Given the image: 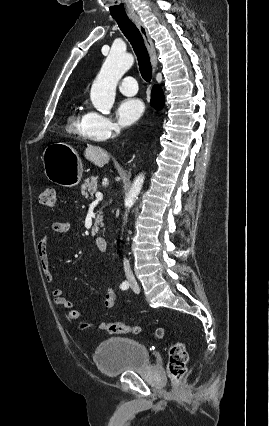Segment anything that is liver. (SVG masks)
Returning <instances> with one entry per match:
<instances>
[{
	"instance_id": "1",
	"label": "liver",
	"mask_w": 269,
	"mask_h": 426,
	"mask_svg": "<svg viewBox=\"0 0 269 426\" xmlns=\"http://www.w3.org/2000/svg\"><path fill=\"white\" fill-rule=\"evenodd\" d=\"M84 156L87 160L98 167H103L110 160V156L103 148L91 144H87L84 151Z\"/></svg>"
}]
</instances>
